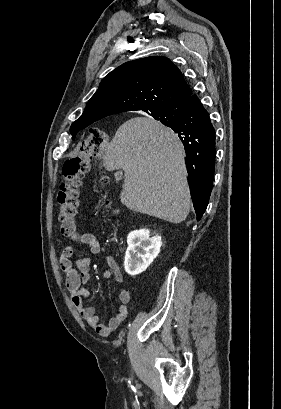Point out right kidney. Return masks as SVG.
<instances>
[{"label":"right kidney","instance_id":"ca27d5eb","mask_svg":"<svg viewBox=\"0 0 281 409\" xmlns=\"http://www.w3.org/2000/svg\"><path fill=\"white\" fill-rule=\"evenodd\" d=\"M124 269L128 275H140L156 259L162 247L161 237H151L149 229L130 231L127 237Z\"/></svg>","mask_w":281,"mask_h":409}]
</instances>
